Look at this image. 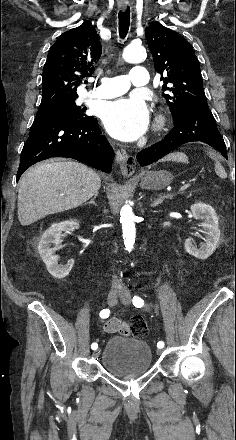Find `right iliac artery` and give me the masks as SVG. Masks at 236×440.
<instances>
[{
	"instance_id": "1",
	"label": "right iliac artery",
	"mask_w": 236,
	"mask_h": 440,
	"mask_svg": "<svg viewBox=\"0 0 236 440\" xmlns=\"http://www.w3.org/2000/svg\"><path fill=\"white\" fill-rule=\"evenodd\" d=\"M109 314H110V310H109V309H103V310L100 312V317L103 318V319H105V318H108V317H109ZM91 348H92L93 350H96V349L98 348V344H97V343H92Z\"/></svg>"
}]
</instances>
